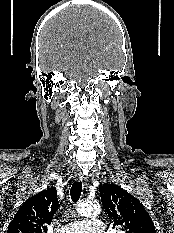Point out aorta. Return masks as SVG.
Segmentation results:
<instances>
[{
    "instance_id": "762f6f07",
    "label": "aorta",
    "mask_w": 174,
    "mask_h": 233,
    "mask_svg": "<svg viewBox=\"0 0 174 233\" xmlns=\"http://www.w3.org/2000/svg\"><path fill=\"white\" fill-rule=\"evenodd\" d=\"M77 211L86 217H96L100 214V206L95 203L82 202L78 205Z\"/></svg>"
}]
</instances>
